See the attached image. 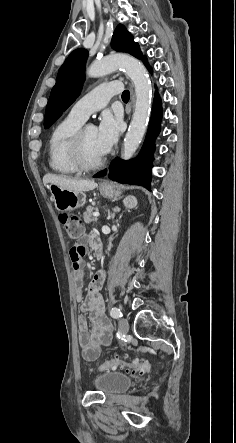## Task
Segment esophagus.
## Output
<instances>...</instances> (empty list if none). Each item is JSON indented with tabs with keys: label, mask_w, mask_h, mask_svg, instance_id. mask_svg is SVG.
I'll list each match as a JSON object with an SVG mask.
<instances>
[{
	"label": "esophagus",
	"mask_w": 236,
	"mask_h": 443,
	"mask_svg": "<svg viewBox=\"0 0 236 443\" xmlns=\"http://www.w3.org/2000/svg\"><path fill=\"white\" fill-rule=\"evenodd\" d=\"M131 102H132V105H134V102H135V94H134V91H133V87H131ZM107 184H108L107 181H103V182H102V185H107Z\"/></svg>",
	"instance_id": "obj_1"
}]
</instances>
